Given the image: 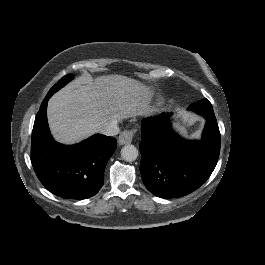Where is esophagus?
<instances>
[{
    "label": "esophagus",
    "mask_w": 265,
    "mask_h": 265,
    "mask_svg": "<svg viewBox=\"0 0 265 265\" xmlns=\"http://www.w3.org/2000/svg\"><path fill=\"white\" fill-rule=\"evenodd\" d=\"M135 130H125L123 131L119 137H118V143L119 145H125L132 142L133 136H134Z\"/></svg>",
    "instance_id": "34e87169"
}]
</instances>
